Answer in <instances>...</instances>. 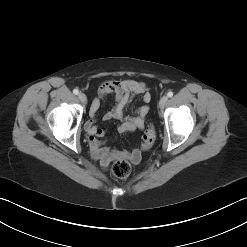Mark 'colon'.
<instances>
[{
  "label": "colon",
  "mask_w": 247,
  "mask_h": 247,
  "mask_svg": "<svg viewBox=\"0 0 247 247\" xmlns=\"http://www.w3.org/2000/svg\"><path fill=\"white\" fill-rule=\"evenodd\" d=\"M156 139V131L153 125H149L143 135L142 149L147 150L151 148ZM131 164L125 159L116 161L112 166L113 174L118 178H125L129 175Z\"/></svg>",
  "instance_id": "colon-1"
}]
</instances>
